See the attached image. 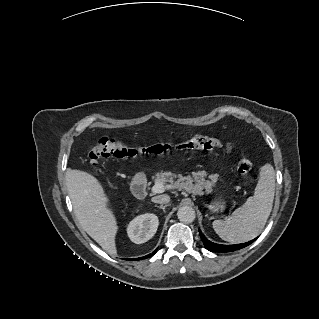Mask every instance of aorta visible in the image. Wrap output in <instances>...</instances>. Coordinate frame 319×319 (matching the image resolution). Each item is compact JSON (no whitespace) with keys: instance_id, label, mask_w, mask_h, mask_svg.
<instances>
[{"instance_id":"obj_1","label":"aorta","mask_w":319,"mask_h":319,"mask_svg":"<svg viewBox=\"0 0 319 319\" xmlns=\"http://www.w3.org/2000/svg\"><path fill=\"white\" fill-rule=\"evenodd\" d=\"M177 217L179 221L189 224L196 218L195 210L191 206H182L177 211Z\"/></svg>"}]
</instances>
